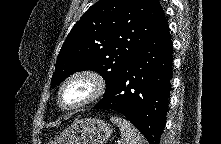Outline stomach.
Listing matches in <instances>:
<instances>
[{"instance_id":"1","label":"stomach","mask_w":221,"mask_h":144,"mask_svg":"<svg viewBox=\"0 0 221 144\" xmlns=\"http://www.w3.org/2000/svg\"><path fill=\"white\" fill-rule=\"evenodd\" d=\"M112 131L104 120L91 117L77 119L55 138L53 144H104Z\"/></svg>"}]
</instances>
